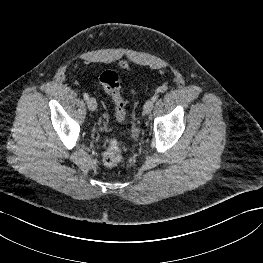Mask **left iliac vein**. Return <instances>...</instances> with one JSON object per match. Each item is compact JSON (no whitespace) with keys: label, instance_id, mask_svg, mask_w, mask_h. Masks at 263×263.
<instances>
[{"label":"left iliac vein","instance_id":"1","mask_svg":"<svg viewBox=\"0 0 263 263\" xmlns=\"http://www.w3.org/2000/svg\"><path fill=\"white\" fill-rule=\"evenodd\" d=\"M153 107H154V102L152 100L146 101L143 108L144 113L149 114L152 111Z\"/></svg>","mask_w":263,"mask_h":263}]
</instances>
